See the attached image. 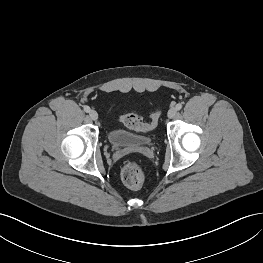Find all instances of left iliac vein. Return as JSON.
<instances>
[{
	"instance_id": "4c4485c4",
	"label": "left iliac vein",
	"mask_w": 263,
	"mask_h": 263,
	"mask_svg": "<svg viewBox=\"0 0 263 263\" xmlns=\"http://www.w3.org/2000/svg\"><path fill=\"white\" fill-rule=\"evenodd\" d=\"M176 114H177L176 108L172 107V108L169 109V111H168V117H169V118L175 117Z\"/></svg>"
}]
</instances>
